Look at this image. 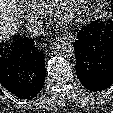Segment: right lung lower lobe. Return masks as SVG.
<instances>
[{
	"label": "right lung lower lobe",
	"mask_w": 113,
	"mask_h": 113,
	"mask_svg": "<svg viewBox=\"0 0 113 113\" xmlns=\"http://www.w3.org/2000/svg\"><path fill=\"white\" fill-rule=\"evenodd\" d=\"M44 58L34 39L17 35L0 43V84L20 99L34 98L45 82Z\"/></svg>",
	"instance_id": "right-lung-lower-lobe-1"
}]
</instances>
